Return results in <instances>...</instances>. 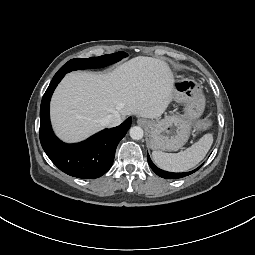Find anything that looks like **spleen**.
<instances>
[{"mask_svg":"<svg viewBox=\"0 0 255 255\" xmlns=\"http://www.w3.org/2000/svg\"><path fill=\"white\" fill-rule=\"evenodd\" d=\"M213 143L211 133L202 136L198 142L179 153L153 151L154 162L162 169L170 172H184L195 167L204 159Z\"/></svg>","mask_w":255,"mask_h":255,"instance_id":"spleen-1","label":"spleen"}]
</instances>
